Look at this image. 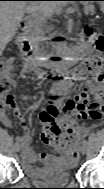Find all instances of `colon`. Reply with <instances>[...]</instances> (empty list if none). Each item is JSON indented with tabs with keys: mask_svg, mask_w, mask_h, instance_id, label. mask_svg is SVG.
<instances>
[{
	"mask_svg": "<svg viewBox=\"0 0 104 189\" xmlns=\"http://www.w3.org/2000/svg\"><path fill=\"white\" fill-rule=\"evenodd\" d=\"M84 38L86 41L90 42L93 46L97 55L94 57L92 71L97 80H102V61L100 54L104 51V36L95 33L92 28H87L84 30ZM22 65L20 60L6 59L3 61L4 75L0 81V94H1V106L3 108L11 107L14 103V98L9 94L10 90V80L9 72L13 67H19ZM78 109L77 105L69 100L61 105L49 104L40 113V121L43 125L42 129V140L46 145H49L60 152H65L70 149V141L68 137L62 136L60 134L61 129L57 124L58 118L64 116L65 114L74 112ZM86 113L92 115L103 114V109L101 104H92L84 108Z\"/></svg>",
	"mask_w": 104,
	"mask_h": 189,
	"instance_id": "1",
	"label": "colon"
}]
</instances>
